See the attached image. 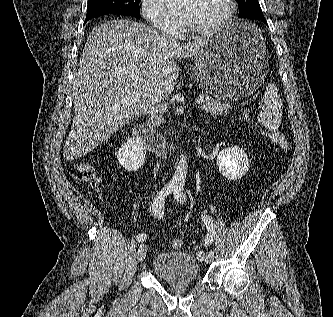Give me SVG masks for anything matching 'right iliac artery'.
<instances>
[{
  "label": "right iliac artery",
  "mask_w": 333,
  "mask_h": 317,
  "mask_svg": "<svg viewBox=\"0 0 333 317\" xmlns=\"http://www.w3.org/2000/svg\"><path fill=\"white\" fill-rule=\"evenodd\" d=\"M174 189H175V185L169 183L165 187H163L158 192L156 197L154 198L153 204H152V210H153L155 217H157L158 219L163 218L165 199L171 192L174 191ZM146 238H147L146 234L141 233V234L137 235L136 239L138 242H143L146 240Z\"/></svg>",
  "instance_id": "obj_1"
}]
</instances>
